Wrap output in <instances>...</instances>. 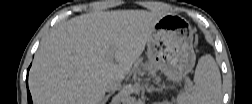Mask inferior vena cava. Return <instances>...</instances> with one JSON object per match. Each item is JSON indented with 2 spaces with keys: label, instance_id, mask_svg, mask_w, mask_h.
I'll return each instance as SVG.
<instances>
[{
  "label": "inferior vena cava",
  "instance_id": "inferior-vena-cava-1",
  "mask_svg": "<svg viewBox=\"0 0 252 104\" xmlns=\"http://www.w3.org/2000/svg\"><path fill=\"white\" fill-rule=\"evenodd\" d=\"M121 88V81L120 80H110L106 85V91L114 93L115 91Z\"/></svg>",
  "mask_w": 252,
  "mask_h": 104
}]
</instances>
